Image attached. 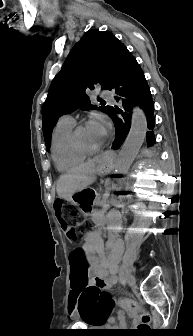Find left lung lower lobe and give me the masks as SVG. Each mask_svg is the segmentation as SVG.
Segmentation results:
<instances>
[{
    "instance_id": "1",
    "label": "left lung lower lobe",
    "mask_w": 193,
    "mask_h": 336,
    "mask_svg": "<svg viewBox=\"0 0 193 336\" xmlns=\"http://www.w3.org/2000/svg\"><path fill=\"white\" fill-rule=\"evenodd\" d=\"M108 90H112L116 94V101H120L125 110L122 112L120 109L111 108L109 114L114 122L116 134L112 149L117 150L125 141L130 130L133 106L138 105L144 111L148 129L152 130L155 123L154 103L150 88L140 65L127 48L120 55L115 77ZM146 140L148 146L153 145L155 141L153 131L146 133Z\"/></svg>"
}]
</instances>
